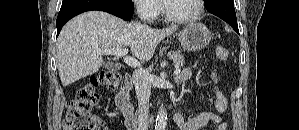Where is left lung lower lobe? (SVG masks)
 <instances>
[{
    "label": "left lung lower lobe",
    "instance_id": "1",
    "mask_svg": "<svg viewBox=\"0 0 299 130\" xmlns=\"http://www.w3.org/2000/svg\"><path fill=\"white\" fill-rule=\"evenodd\" d=\"M205 5L210 13L226 21L239 34L233 0H209Z\"/></svg>",
    "mask_w": 299,
    "mask_h": 130
}]
</instances>
